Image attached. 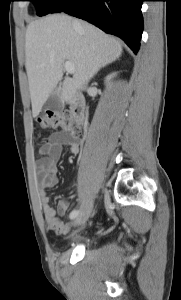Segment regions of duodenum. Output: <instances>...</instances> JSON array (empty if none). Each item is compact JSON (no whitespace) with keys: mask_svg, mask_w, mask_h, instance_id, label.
<instances>
[{"mask_svg":"<svg viewBox=\"0 0 181 300\" xmlns=\"http://www.w3.org/2000/svg\"><path fill=\"white\" fill-rule=\"evenodd\" d=\"M70 110H71V116L72 119L78 123L81 124L84 122L87 107L85 104V101L80 95H75L71 101L70 104Z\"/></svg>","mask_w":181,"mask_h":300,"instance_id":"410a0bca","label":"duodenum"}]
</instances>
